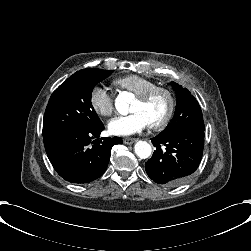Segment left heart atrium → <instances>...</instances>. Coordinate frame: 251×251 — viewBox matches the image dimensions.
<instances>
[{
  "mask_svg": "<svg viewBox=\"0 0 251 251\" xmlns=\"http://www.w3.org/2000/svg\"><path fill=\"white\" fill-rule=\"evenodd\" d=\"M150 125V120L142 110H135L126 115H117L108 122L111 134L128 136L140 132Z\"/></svg>",
  "mask_w": 251,
  "mask_h": 251,
  "instance_id": "1",
  "label": "left heart atrium"
}]
</instances>
